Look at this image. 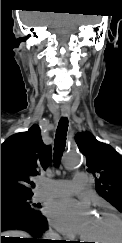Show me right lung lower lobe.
Masks as SVG:
<instances>
[{
  "instance_id": "obj_1",
  "label": "right lung lower lobe",
  "mask_w": 122,
  "mask_h": 243,
  "mask_svg": "<svg viewBox=\"0 0 122 243\" xmlns=\"http://www.w3.org/2000/svg\"><path fill=\"white\" fill-rule=\"evenodd\" d=\"M7 229L27 231L32 235V238H1V243H56L38 238L48 229L47 219L38 210L10 205L1 206V231Z\"/></svg>"
}]
</instances>
